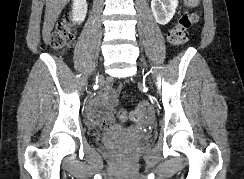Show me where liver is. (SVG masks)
<instances>
[{
	"instance_id": "1",
	"label": "liver",
	"mask_w": 244,
	"mask_h": 179,
	"mask_svg": "<svg viewBox=\"0 0 244 179\" xmlns=\"http://www.w3.org/2000/svg\"><path fill=\"white\" fill-rule=\"evenodd\" d=\"M69 0H46L45 18L42 30V36L45 44H49L50 34L55 26L59 14Z\"/></svg>"
}]
</instances>
